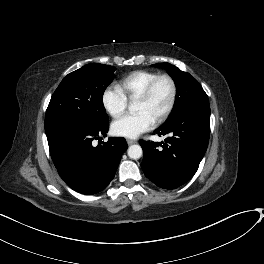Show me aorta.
<instances>
[{
	"label": "aorta",
	"mask_w": 264,
	"mask_h": 264,
	"mask_svg": "<svg viewBox=\"0 0 264 264\" xmlns=\"http://www.w3.org/2000/svg\"><path fill=\"white\" fill-rule=\"evenodd\" d=\"M129 111L130 112H133L134 111V105L131 104L129 106ZM128 156L131 158V159H139L141 156H142V148L141 146L139 145H131L129 148H128Z\"/></svg>",
	"instance_id": "762f6f07"
}]
</instances>
